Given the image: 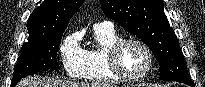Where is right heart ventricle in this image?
I'll return each instance as SVG.
<instances>
[{
	"mask_svg": "<svg viewBox=\"0 0 205 87\" xmlns=\"http://www.w3.org/2000/svg\"><path fill=\"white\" fill-rule=\"evenodd\" d=\"M93 39L95 45L83 50L84 67L80 78L98 84L114 83L117 79L110 71L107 62V52L120 37L112 28L94 27Z\"/></svg>",
	"mask_w": 205,
	"mask_h": 87,
	"instance_id": "right-heart-ventricle-1",
	"label": "right heart ventricle"
}]
</instances>
